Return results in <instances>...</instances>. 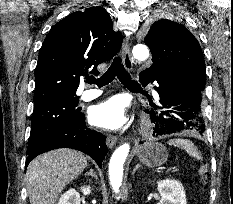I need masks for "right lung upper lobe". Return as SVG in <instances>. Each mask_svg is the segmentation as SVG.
Segmentation results:
<instances>
[{"mask_svg": "<svg viewBox=\"0 0 233 204\" xmlns=\"http://www.w3.org/2000/svg\"><path fill=\"white\" fill-rule=\"evenodd\" d=\"M122 45V35L113 30L110 15L102 7L76 11L58 23L46 36L35 72L34 103L53 97H78L80 76L97 71L113 58Z\"/></svg>", "mask_w": 233, "mask_h": 204, "instance_id": "right-lung-upper-lobe-1", "label": "right lung upper lobe"}]
</instances>
